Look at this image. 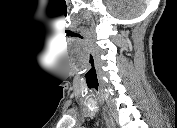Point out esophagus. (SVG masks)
Listing matches in <instances>:
<instances>
[{
	"label": "esophagus",
	"instance_id": "obj_1",
	"mask_svg": "<svg viewBox=\"0 0 177 128\" xmlns=\"http://www.w3.org/2000/svg\"><path fill=\"white\" fill-rule=\"evenodd\" d=\"M103 110H104V113H105V115H106V120H107L108 124L110 125V127H111V128H116V127H115V123H114V121H113L111 115H110L109 112L107 111V108L104 107Z\"/></svg>",
	"mask_w": 177,
	"mask_h": 128
}]
</instances>
